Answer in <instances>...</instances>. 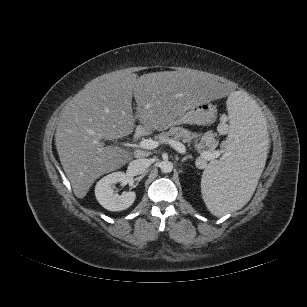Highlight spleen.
<instances>
[{
	"label": "spleen",
	"mask_w": 307,
	"mask_h": 307,
	"mask_svg": "<svg viewBox=\"0 0 307 307\" xmlns=\"http://www.w3.org/2000/svg\"><path fill=\"white\" fill-rule=\"evenodd\" d=\"M230 140L225 156L204 170L201 192L209 211L223 216L251 198L266 159L269 132L257 104L242 91L227 98Z\"/></svg>",
	"instance_id": "obj_1"
}]
</instances>
